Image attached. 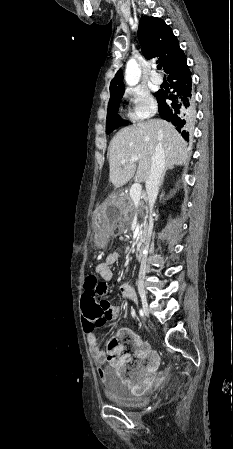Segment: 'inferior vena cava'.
<instances>
[{"label":"inferior vena cava","mask_w":233,"mask_h":449,"mask_svg":"<svg viewBox=\"0 0 233 449\" xmlns=\"http://www.w3.org/2000/svg\"><path fill=\"white\" fill-rule=\"evenodd\" d=\"M165 153L164 149L162 147V144L159 143L155 147L154 154L152 156V163L150 168L149 176L146 180V192H147V200L149 203L150 208V217H149V225H148V236H151L152 230H153V207L158 195L159 186H160V180L161 176L164 172L165 168ZM148 247V245H147ZM146 274V264L144 263L139 271V277L145 278Z\"/></svg>","instance_id":"1"}]
</instances>
